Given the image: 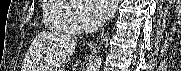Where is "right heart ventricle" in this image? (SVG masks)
<instances>
[{
	"mask_svg": "<svg viewBox=\"0 0 181 71\" xmlns=\"http://www.w3.org/2000/svg\"><path fill=\"white\" fill-rule=\"evenodd\" d=\"M44 21L45 24L53 30L65 33H71L67 21V13L71 7L63 2L48 0L44 3Z\"/></svg>",
	"mask_w": 181,
	"mask_h": 71,
	"instance_id": "1",
	"label": "right heart ventricle"
}]
</instances>
